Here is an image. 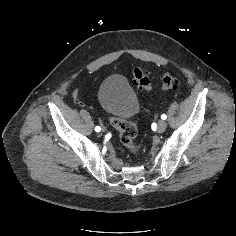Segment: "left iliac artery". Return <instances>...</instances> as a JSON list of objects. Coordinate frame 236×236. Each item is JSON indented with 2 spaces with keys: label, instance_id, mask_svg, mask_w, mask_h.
I'll list each match as a JSON object with an SVG mask.
<instances>
[{
  "label": "left iliac artery",
  "instance_id": "obj_1",
  "mask_svg": "<svg viewBox=\"0 0 236 236\" xmlns=\"http://www.w3.org/2000/svg\"><path fill=\"white\" fill-rule=\"evenodd\" d=\"M166 118H167L166 114H162V115H161V119H162V120H166Z\"/></svg>",
  "mask_w": 236,
  "mask_h": 236
}]
</instances>
